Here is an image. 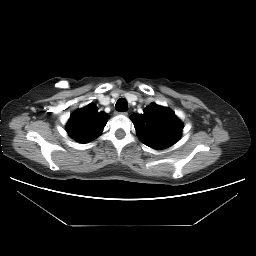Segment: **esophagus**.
Returning <instances> with one entry per match:
<instances>
[{"mask_svg": "<svg viewBox=\"0 0 256 256\" xmlns=\"http://www.w3.org/2000/svg\"><path fill=\"white\" fill-rule=\"evenodd\" d=\"M122 115L127 116L128 112H121Z\"/></svg>", "mask_w": 256, "mask_h": 256, "instance_id": "esophagus-1", "label": "esophagus"}]
</instances>
